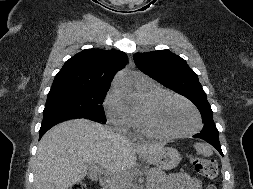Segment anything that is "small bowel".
<instances>
[{
  "label": "small bowel",
  "mask_w": 253,
  "mask_h": 189,
  "mask_svg": "<svg viewBox=\"0 0 253 189\" xmlns=\"http://www.w3.org/2000/svg\"><path fill=\"white\" fill-rule=\"evenodd\" d=\"M165 189H201V182L186 173H175L169 176Z\"/></svg>",
  "instance_id": "1"
}]
</instances>
